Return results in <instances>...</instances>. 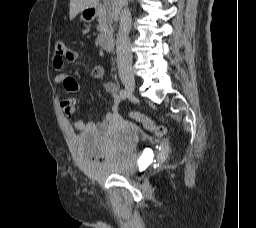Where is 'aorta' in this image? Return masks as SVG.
<instances>
[{
    "label": "aorta",
    "instance_id": "762f6f07",
    "mask_svg": "<svg viewBox=\"0 0 256 228\" xmlns=\"http://www.w3.org/2000/svg\"><path fill=\"white\" fill-rule=\"evenodd\" d=\"M121 22L124 33L128 34L131 28V17L128 9H124V11H122Z\"/></svg>",
    "mask_w": 256,
    "mask_h": 228
}]
</instances>
